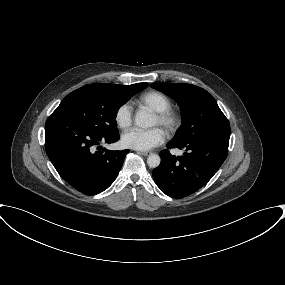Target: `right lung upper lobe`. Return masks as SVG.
Segmentation results:
<instances>
[{"instance_id":"1","label":"right lung upper lobe","mask_w":285,"mask_h":285,"mask_svg":"<svg viewBox=\"0 0 285 285\" xmlns=\"http://www.w3.org/2000/svg\"><path fill=\"white\" fill-rule=\"evenodd\" d=\"M108 85H112V86H115V87H122V88H127V87H130V86H131V85L122 86V85H116V84H108Z\"/></svg>"}]
</instances>
